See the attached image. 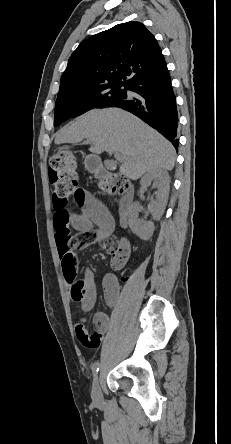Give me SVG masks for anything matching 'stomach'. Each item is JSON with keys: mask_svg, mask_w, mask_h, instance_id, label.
Returning a JSON list of instances; mask_svg holds the SVG:
<instances>
[{"mask_svg": "<svg viewBox=\"0 0 231 444\" xmlns=\"http://www.w3.org/2000/svg\"><path fill=\"white\" fill-rule=\"evenodd\" d=\"M85 166L90 172H97L101 168V162L96 156H88L85 159Z\"/></svg>", "mask_w": 231, "mask_h": 444, "instance_id": "1", "label": "stomach"}]
</instances>
